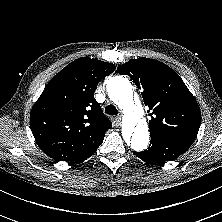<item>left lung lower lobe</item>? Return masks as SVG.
<instances>
[{"label":"left lung lower lobe","mask_w":222,"mask_h":222,"mask_svg":"<svg viewBox=\"0 0 222 222\" xmlns=\"http://www.w3.org/2000/svg\"><path fill=\"white\" fill-rule=\"evenodd\" d=\"M192 141L170 136H151L148 150L143 152L133 151L134 155L144 162L154 165H163L183 154L191 145Z\"/></svg>","instance_id":"1"}]
</instances>
